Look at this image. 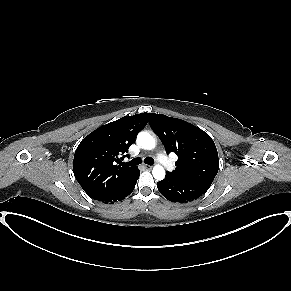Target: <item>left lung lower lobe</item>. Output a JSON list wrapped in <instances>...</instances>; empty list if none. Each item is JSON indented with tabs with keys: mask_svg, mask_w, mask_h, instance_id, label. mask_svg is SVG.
Masks as SVG:
<instances>
[{
	"mask_svg": "<svg viewBox=\"0 0 291 291\" xmlns=\"http://www.w3.org/2000/svg\"><path fill=\"white\" fill-rule=\"evenodd\" d=\"M210 186L179 179L167 174L165 179L157 183L159 192L169 201L188 202L202 196Z\"/></svg>",
	"mask_w": 291,
	"mask_h": 291,
	"instance_id": "obj_1",
	"label": "left lung lower lobe"
}]
</instances>
